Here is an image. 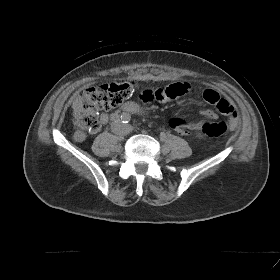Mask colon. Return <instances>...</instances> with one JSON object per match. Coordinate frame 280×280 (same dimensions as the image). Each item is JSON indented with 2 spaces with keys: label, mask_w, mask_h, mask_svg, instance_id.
Returning <instances> with one entry per match:
<instances>
[{
  "label": "colon",
  "mask_w": 280,
  "mask_h": 280,
  "mask_svg": "<svg viewBox=\"0 0 280 280\" xmlns=\"http://www.w3.org/2000/svg\"><path fill=\"white\" fill-rule=\"evenodd\" d=\"M135 85L132 82H112L99 86L86 88L82 93V115L78 119L79 125L89 131H97L100 126L98 114L119 106L134 92ZM202 131L209 137H219L227 129L226 122L205 123Z\"/></svg>",
  "instance_id": "colon-1"
}]
</instances>
